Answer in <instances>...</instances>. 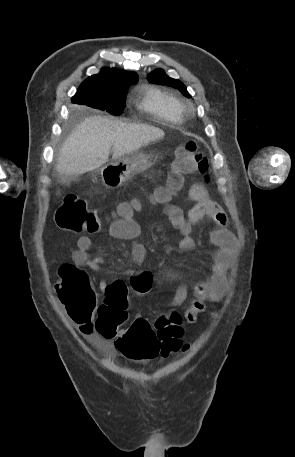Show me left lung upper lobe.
<instances>
[{
  "label": "left lung upper lobe",
  "mask_w": 295,
  "mask_h": 457,
  "mask_svg": "<svg viewBox=\"0 0 295 457\" xmlns=\"http://www.w3.org/2000/svg\"><path fill=\"white\" fill-rule=\"evenodd\" d=\"M148 79H153L167 86L179 89L184 95L190 96L186 90V87L181 81L168 77L162 69H157L151 72L148 76Z\"/></svg>",
  "instance_id": "obj_1"
}]
</instances>
